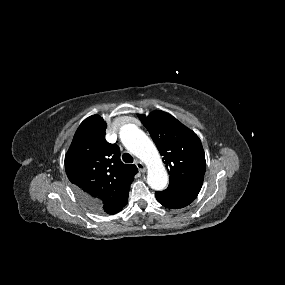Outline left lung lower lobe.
I'll use <instances>...</instances> for the list:
<instances>
[{"instance_id": "1", "label": "left lung lower lobe", "mask_w": 285, "mask_h": 285, "mask_svg": "<svg viewBox=\"0 0 285 285\" xmlns=\"http://www.w3.org/2000/svg\"><path fill=\"white\" fill-rule=\"evenodd\" d=\"M199 191L169 185L164 191L155 192L156 199L165 207L183 208L192 203Z\"/></svg>"}]
</instances>
